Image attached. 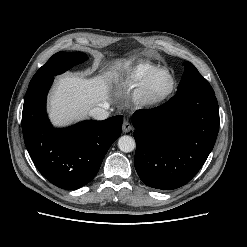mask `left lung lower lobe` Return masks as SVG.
<instances>
[{
  "label": "left lung lower lobe",
  "mask_w": 247,
  "mask_h": 247,
  "mask_svg": "<svg viewBox=\"0 0 247 247\" xmlns=\"http://www.w3.org/2000/svg\"><path fill=\"white\" fill-rule=\"evenodd\" d=\"M134 165L149 187L172 190L187 184L212 151L219 131L213 89L188 88L169 101L132 116Z\"/></svg>",
  "instance_id": "1"
}]
</instances>
